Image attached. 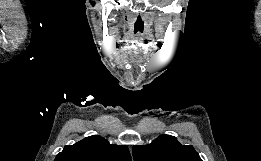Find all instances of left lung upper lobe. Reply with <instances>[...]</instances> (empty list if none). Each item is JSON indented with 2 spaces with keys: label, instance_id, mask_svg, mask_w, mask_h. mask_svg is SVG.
<instances>
[{
  "label": "left lung upper lobe",
  "instance_id": "5c2ea615",
  "mask_svg": "<svg viewBox=\"0 0 261 161\" xmlns=\"http://www.w3.org/2000/svg\"><path fill=\"white\" fill-rule=\"evenodd\" d=\"M134 161H202L191 145H182L170 135H161L147 145L133 146Z\"/></svg>",
  "mask_w": 261,
  "mask_h": 161
}]
</instances>
